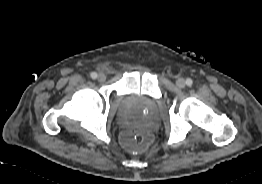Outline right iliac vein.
Listing matches in <instances>:
<instances>
[{
    "mask_svg": "<svg viewBox=\"0 0 262 184\" xmlns=\"http://www.w3.org/2000/svg\"><path fill=\"white\" fill-rule=\"evenodd\" d=\"M105 80H106V75L103 74V73H100V74L98 75V81H99V82H104Z\"/></svg>",
    "mask_w": 262,
    "mask_h": 184,
    "instance_id": "1",
    "label": "right iliac vein"
}]
</instances>
